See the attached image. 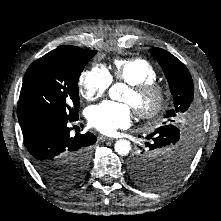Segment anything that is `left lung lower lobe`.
Wrapping results in <instances>:
<instances>
[{
	"instance_id": "1",
	"label": "left lung lower lobe",
	"mask_w": 221,
	"mask_h": 221,
	"mask_svg": "<svg viewBox=\"0 0 221 221\" xmlns=\"http://www.w3.org/2000/svg\"><path fill=\"white\" fill-rule=\"evenodd\" d=\"M167 131L168 130H162L161 132L166 135L173 134V132H167ZM171 138H173V137H169L168 139H171ZM139 164H140L139 160L137 159V157L135 155H133L131 157V159L129 160V167L131 169H136L139 166Z\"/></svg>"
}]
</instances>
